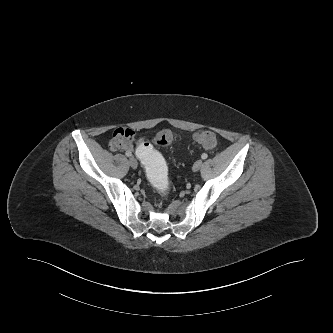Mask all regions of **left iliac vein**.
Wrapping results in <instances>:
<instances>
[{
  "mask_svg": "<svg viewBox=\"0 0 333 333\" xmlns=\"http://www.w3.org/2000/svg\"><path fill=\"white\" fill-rule=\"evenodd\" d=\"M202 163H203L202 160H197L192 167L193 171L194 172L199 171L202 166Z\"/></svg>",
  "mask_w": 333,
  "mask_h": 333,
  "instance_id": "left-iliac-vein-1",
  "label": "left iliac vein"
}]
</instances>
